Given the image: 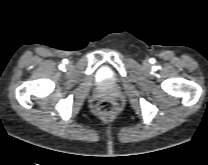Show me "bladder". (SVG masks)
I'll return each instance as SVG.
<instances>
[{
  "mask_svg": "<svg viewBox=\"0 0 208 165\" xmlns=\"http://www.w3.org/2000/svg\"><path fill=\"white\" fill-rule=\"evenodd\" d=\"M110 75L107 71H102L99 75V80L105 82L109 79Z\"/></svg>",
  "mask_w": 208,
  "mask_h": 165,
  "instance_id": "1",
  "label": "bladder"
}]
</instances>
